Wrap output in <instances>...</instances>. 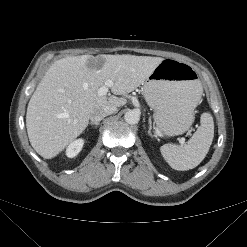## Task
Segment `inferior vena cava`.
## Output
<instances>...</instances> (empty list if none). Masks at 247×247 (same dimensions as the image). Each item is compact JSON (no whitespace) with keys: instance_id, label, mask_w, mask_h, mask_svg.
Segmentation results:
<instances>
[{"instance_id":"obj_1","label":"inferior vena cava","mask_w":247,"mask_h":247,"mask_svg":"<svg viewBox=\"0 0 247 247\" xmlns=\"http://www.w3.org/2000/svg\"><path fill=\"white\" fill-rule=\"evenodd\" d=\"M117 111V107L109 106L103 110H95L90 115V120L94 123H99L106 116L111 115Z\"/></svg>"}]
</instances>
